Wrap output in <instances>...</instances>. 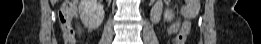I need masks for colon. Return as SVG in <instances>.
Returning a JSON list of instances; mask_svg holds the SVG:
<instances>
[{"instance_id": "1", "label": "colon", "mask_w": 261, "mask_h": 44, "mask_svg": "<svg viewBox=\"0 0 261 44\" xmlns=\"http://www.w3.org/2000/svg\"><path fill=\"white\" fill-rule=\"evenodd\" d=\"M71 1H66V5L62 8V13L64 16V19L66 23L71 19V14L73 13V10L70 6ZM185 2L189 3L191 6H196L199 5V0H186ZM190 21L189 19H186L185 22L183 23L182 28L176 35V37L173 39L174 44H184L187 38V35L190 31Z\"/></svg>"}]
</instances>
